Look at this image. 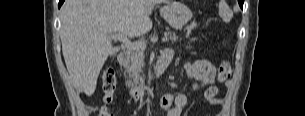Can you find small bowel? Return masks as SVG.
<instances>
[{
    "instance_id": "obj_1",
    "label": "small bowel",
    "mask_w": 305,
    "mask_h": 116,
    "mask_svg": "<svg viewBox=\"0 0 305 116\" xmlns=\"http://www.w3.org/2000/svg\"><path fill=\"white\" fill-rule=\"evenodd\" d=\"M161 57L172 58V51L166 49ZM184 68L187 74L194 79L193 88L203 90L206 103L209 107L219 105L222 100L217 97L218 89L214 85L215 67L205 59L186 63ZM160 107L167 112V116H183L189 104V98L184 94H165L160 99Z\"/></svg>"
}]
</instances>
